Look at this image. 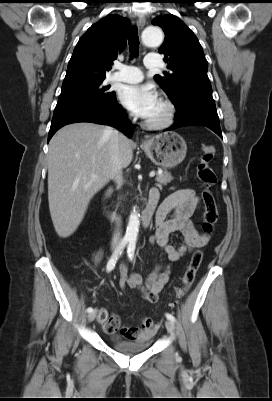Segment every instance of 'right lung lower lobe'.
<instances>
[{
    "label": "right lung lower lobe",
    "instance_id": "98d812e1",
    "mask_svg": "<svg viewBox=\"0 0 272 401\" xmlns=\"http://www.w3.org/2000/svg\"><path fill=\"white\" fill-rule=\"evenodd\" d=\"M77 122H92L113 126L128 137L133 134V128L126 119L124 109L117 103L116 98L106 106L81 105L53 114L48 142L61 127Z\"/></svg>",
    "mask_w": 272,
    "mask_h": 401
}]
</instances>
